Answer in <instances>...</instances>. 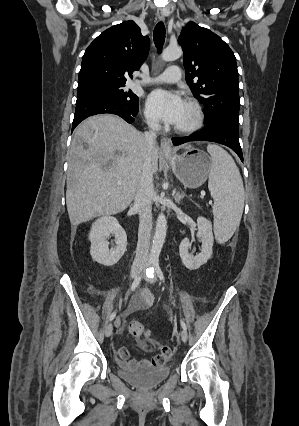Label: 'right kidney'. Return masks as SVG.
<instances>
[{"mask_svg":"<svg viewBox=\"0 0 299 426\" xmlns=\"http://www.w3.org/2000/svg\"><path fill=\"white\" fill-rule=\"evenodd\" d=\"M114 235L115 246L109 249L107 238ZM90 254L94 261L104 266H113L124 255L127 235L115 217L103 216L92 225L89 233Z\"/></svg>","mask_w":299,"mask_h":426,"instance_id":"1","label":"right kidney"}]
</instances>
